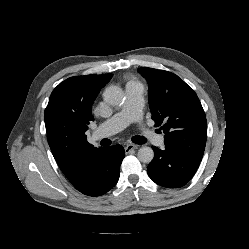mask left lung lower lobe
Masks as SVG:
<instances>
[{"mask_svg": "<svg viewBox=\"0 0 249 249\" xmlns=\"http://www.w3.org/2000/svg\"><path fill=\"white\" fill-rule=\"evenodd\" d=\"M154 160L147 167L149 177L168 188L184 186L194 176L201 160L165 145L161 150L153 146Z\"/></svg>", "mask_w": 249, "mask_h": 249, "instance_id": "obj_1", "label": "left lung lower lobe"}]
</instances>
